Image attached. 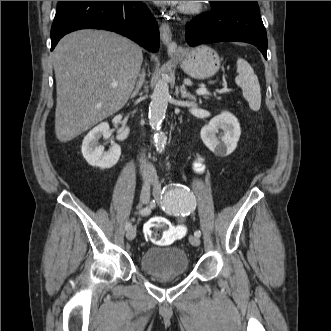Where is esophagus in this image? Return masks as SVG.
Masks as SVG:
<instances>
[{"instance_id":"obj_1","label":"esophagus","mask_w":331,"mask_h":331,"mask_svg":"<svg viewBox=\"0 0 331 331\" xmlns=\"http://www.w3.org/2000/svg\"><path fill=\"white\" fill-rule=\"evenodd\" d=\"M160 36L162 43L166 46L169 54H173L178 50V46L172 39V32L167 23H162L160 25Z\"/></svg>"}]
</instances>
